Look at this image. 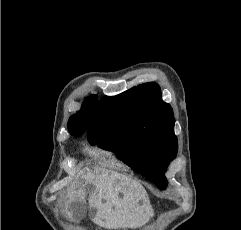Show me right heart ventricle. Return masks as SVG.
I'll use <instances>...</instances> for the list:
<instances>
[{
    "label": "right heart ventricle",
    "mask_w": 241,
    "mask_h": 230,
    "mask_svg": "<svg viewBox=\"0 0 241 230\" xmlns=\"http://www.w3.org/2000/svg\"><path fill=\"white\" fill-rule=\"evenodd\" d=\"M92 153L97 156L100 157L110 163H114L116 161L115 156L113 153L109 152V151H98V150H93Z\"/></svg>",
    "instance_id": "obj_1"
}]
</instances>
